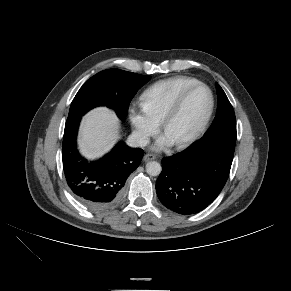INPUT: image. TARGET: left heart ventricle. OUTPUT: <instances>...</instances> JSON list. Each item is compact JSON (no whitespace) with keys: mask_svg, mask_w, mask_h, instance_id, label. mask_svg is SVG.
Masks as SVG:
<instances>
[{"mask_svg":"<svg viewBox=\"0 0 291 291\" xmlns=\"http://www.w3.org/2000/svg\"><path fill=\"white\" fill-rule=\"evenodd\" d=\"M209 103V93L205 88L192 91L168 124L165 136L175 144L192 135L205 116Z\"/></svg>","mask_w":291,"mask_h":291,"instance_id":"1","label":"left heart ventricle"}]
</instances>
